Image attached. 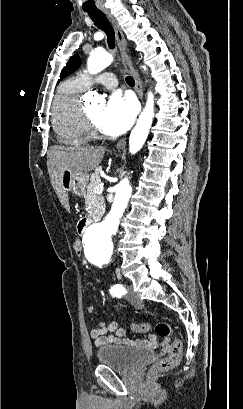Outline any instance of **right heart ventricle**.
Here are the masks:
<instances>
[{
    "label": "right heart ventricle",
    "instance_id": "1",
    "mask_svg": "<svg viewBox=\"0 0 243 409\" xmlns=\"http://www.w3.org/2000/svg\"><path fill=\"white\" fill-rule=\"evenodd\" d=\"M87 85L80 77L65 80L52 103V124L61 142L81 145L89 139L81 96Z\"/></svg>",
    "mask_w": 243,
    "mask_h": 409
}]
</instances>
